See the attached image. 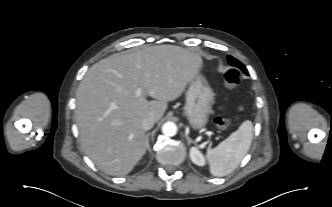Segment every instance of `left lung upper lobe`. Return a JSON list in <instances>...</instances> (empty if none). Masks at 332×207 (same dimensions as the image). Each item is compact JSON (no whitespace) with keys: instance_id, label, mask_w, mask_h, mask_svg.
<instances>
[{"instance_id":"left-lung-upper-lobe-1","label":"left lung upper lobe","mask_w":332,"mask_h":207,"mask_svg":"<svg viewBox=\"0 0 332 207\" xmlns=\"http://www.w3.org/2000/svg\"><path fill=\"white\" fill-rule=\"evenodd\" d=\"M228 61H229L230 65H232L234 67H238L245 74H248L245 66L241 62H239L238 60H236L235 58H233L232 56H228Z\"/></svg>"}]
</instances>
